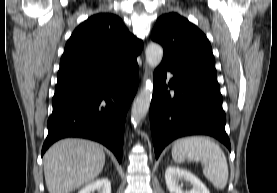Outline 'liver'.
<instances>
[{"label": "liver", "mask_w": 277, "mask_h": 193, "mask_svg": "<svg viewBox=\"0 0 277 193\" xmlns=\"http://www.w3.org/2000/svg\"><path fill=\"white\" fill-rule=\"evenodd\" d=\"M44 176L49 193H70L92 182L105 165L103 147L85 139H63L44 155Z\"/></svg>", "instance_id": "6515ba94"}]
</instances>
